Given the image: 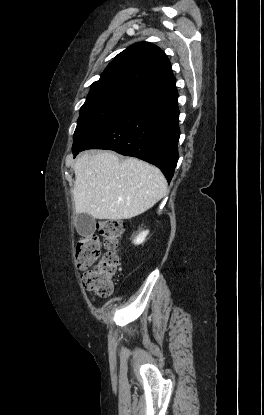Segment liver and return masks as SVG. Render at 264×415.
Listing matches in <instances>:
<instances>
[{
  "label": "liver",
  "instance_id": "6515ba94",
  "mask_svg": "<svg viewBox=\"0 0 264 415\" xmlns=\"http://www.w3.org/2000/svg\"><path fill=\"white\" fill-rule=\"evenodd\" d=\"M73 198L77 214L122 220L153 207L167 193V181L155 166L113 152L84 153L74 164Z\"/></svg>",
  "mask_w": 264,
  "mask_h": 415
}]
</instances>
